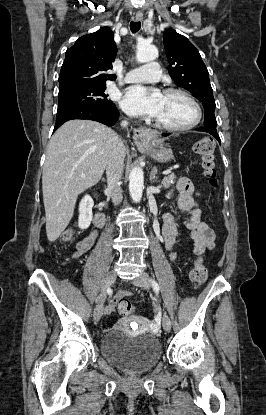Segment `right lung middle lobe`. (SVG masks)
I'll use <instances>...</instances> for the list:
<instances>
[{
    "label": "right lung middle lobe",
    "instance_id": "right-lung-middle-lobe-1",
    "mask_svg": "<svg viewBox=\"0 0 266 415\" xmlns=\"http://www.w3.org/2000/svg\"><path fill=\"white\" fill-rule=\"evenodd\" d=\"M106 85L82 87L68 90L58 94V107L63 106H87L101 109L115 107V104L107 99Z\"/></svg>",
    "mask_w": 266,
    "mask_h": 415
}]
</instances>
